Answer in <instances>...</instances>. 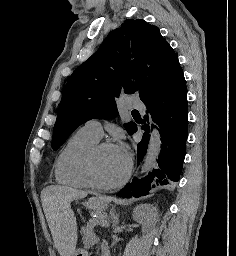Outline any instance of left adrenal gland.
Returning <instances> with one entry per match:
<instances>
[{"label": "left adrenal gland", "mask_w": 236, "mask_h": 256, "mask_svg": "<svg viewBox=\"0 0 236 256\" xmlns=\"http://www.w3.org/2000/svg\"><path fill=\"white\" fill-rule=\"evenodd\" d=\"M111 224H113L112 228H117L119 224V216L116 214V210H111L110 212Z\"/></svg>", "instance_id": "left-adrenal-gland-1"}]
</instances>
